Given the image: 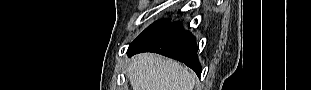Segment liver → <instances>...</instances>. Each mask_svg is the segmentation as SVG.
Returning <instances> with one entry per match:
<instances>
[{"label": "liver", "instance_id": "1", "mask_svg": "<svg viewBox=\"0 0 311 90\" xmlns=\"http://www.w3.org/2000/svg\"><path fill=\"white\" fill-rule=\"evenodd\" d=\"M133 90H192L195 84L188 68L162 56L136 55L128 68Z\"/></svg>", "mask_w": 311, "mask_h": 90}]
</instances>
